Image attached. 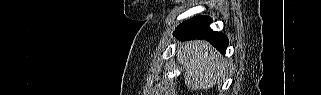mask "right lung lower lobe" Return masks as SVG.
I'll list each match as a JSON object with an SVG mask.
<instances>
[{"label": "right lung lower lobe", "mask_w": 321, "mask_h": 95, "mask_svg": "<svg viewBox=\"0 0 321 95\" xmlns=\"http://www.w3.org/2000/svg\"><path fill=\"white\" fill-rule=\"evenodd\" d=\"M211 18L208 16H198L185 21L175 30V36L181 40L205 39L216 49L225 53L228 46V38L222 33L214 32L209 24Z\"/></svg>", "instance_id": "right-lung-lower-lobe-1"}]
</instances>
